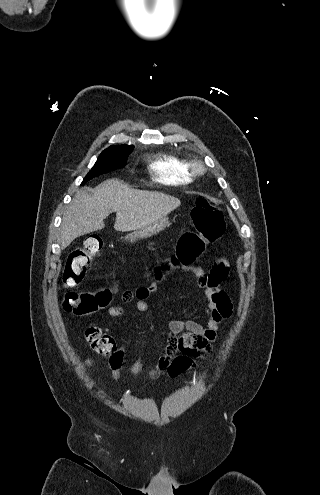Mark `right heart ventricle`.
<instances>
[{
	"label": "right heart ventricle",
	"instance_id": "obj_1",
	"mask_svg": "<svg viewBox=\"0 0 320 495\" xmlns=\"http://www.w3.org/2000/svg\"><path fill=\"white\" fill-rule=\"evenodd\" d=\"M156 181L168 185H181L192 182L194 174L189 162L173 153L161 152L150 163Z\"/></svg>",
	"mask_w": 320,
	"mask_h": 495
}]
</instances>
